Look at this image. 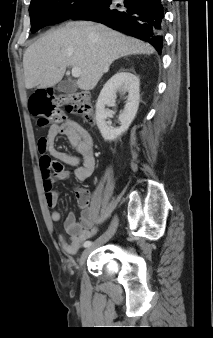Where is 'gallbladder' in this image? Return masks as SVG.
<instances>
[{
	"instance_id": "bac80fb5",
	"label": "gallbladder",
	"mask_w": 213,
	"mask_h": 338,
	"mask_svg": "<svg viewBox=\"0 0 213 338\" xmlns=\"http://www.w3.org/2000/svg\"><path fill=\"white\" fill-rule=\"evenodd\" d=\"M76 89H77L76 85L68 81H61L57 86V90L59 92H65V93L75 92Z\"/></svg>"
}]
</instances>
